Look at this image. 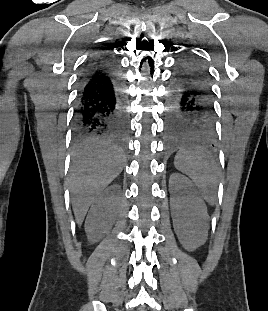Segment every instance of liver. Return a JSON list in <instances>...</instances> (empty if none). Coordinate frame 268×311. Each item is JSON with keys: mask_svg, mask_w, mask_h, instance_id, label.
Returning <instances> with one entry per match:
<instances>
[{"mask_svg": "<svg viewBox=\"0 0 268 311\" xmlns=\"http://www.w3.org/2000/svg\"><path fill=\"white\" fill-rule=\"evenodd\" d=\"M123 159L110 144L89 147L74 153L70 191L76 222L81 225L90 205L121 173Z\"/></svg>", "mask_w": 268, "mask_h": 311, "instance_id": "obj_1", "label": "liver"}]
</instances>
